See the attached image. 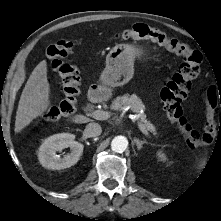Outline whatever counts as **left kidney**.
Returning <instances> with one entry per match:
<instances>
[{"label":"left kidney","instance_id":"5707ae66","mask_svg":"<svg viewBox=\"0 0 221 221\" xmlns=\"http://www.w3.org/2000/svg\"><path fill=\"white\" fill-rule=\"evenodd\" d=\"M157 156L160 161H163V162L167 161V157L162 151H158Z\"/></svg>","mask_w":221,"mask_h":221}]
</instances>
